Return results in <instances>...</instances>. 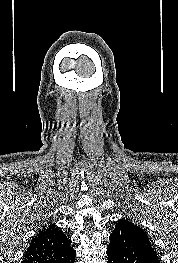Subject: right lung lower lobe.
<instances>
[{
  "instance_id": "obj_1",
  "label": "right lung lower lobe",
  "mask_w": 178,
  "mask_h": 263,
  "mask_svg": "<svg viewBox=\"0 0 178 263\" xmlns=\"http://www.w3.org/2000/svg\"><path fill=\"white\" fill-rule=\"evenodd\" d=\"M75 256L76 252L71 251L70 253L66 254L64 257L58 259L54 263H74Z\"/></svg>"
}]
</instances>
